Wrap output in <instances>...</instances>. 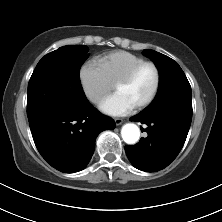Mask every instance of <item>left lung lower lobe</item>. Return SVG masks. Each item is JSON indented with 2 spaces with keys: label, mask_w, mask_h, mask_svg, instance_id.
Returning <instances> with one entry per match:
<instances>
[{
  "label": "left lung lower lobe",
  "mask_w": 222,
  "mask_h": 222,
  "mask_svg": "<svg viewBox=\"0 0 222 222\" xmlns=\"http://www.w3.org/2000/svg\"><path fill=\"white\" fill-rule=\"evenodd\" d=\"M132 121L147 125L148 136L133 146H125L130 162L139 170L155 172L167 167L179 154L191 120V99L171 97L149 105ZM142 130V128H141Z\"/></svg>",
  "instance_id": "obj_1"
}]
</instances>
